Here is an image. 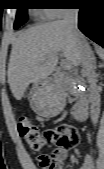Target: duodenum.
<instances>
[{"label": "duodenum", "instance_id": "obj_1", "mask_svg": "<svg viewBox=\"0 0 104 169\" xmlns=\"http://www.w3.org/2000/svg\"><path fill=\"white\" fill-rule=\"evenodd\" d=\"M73 116L77 122H84L88 117L87 101L82 100L73 106Z\"/></svg>", "mask_w": 104, "mask_h": 169}]
</instances>
